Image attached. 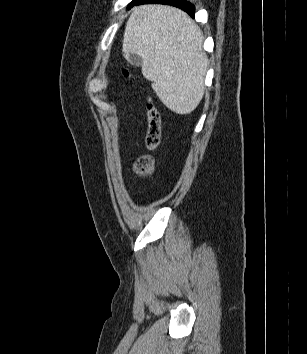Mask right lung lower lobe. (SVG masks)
Instances as JSON below:
<instances>
[{"mask_svg": "<svg viewBox=\"0 0 307 354\" xmlns=\"http://www.w3.org/2000/svg\"><path fill=\"white\" fill-rule=\"evenodd\" d=\"M145 3H161L168 4L178 7L186 11L189 15L194 16V6L185 0H137L134 5L145 4Z\"/></svg>", "mask_w": 307, "mask_h": 354, "instance_id": "right-lung-lower-lobe-1", "label": "right lung lower lobe"}]
</instances>
